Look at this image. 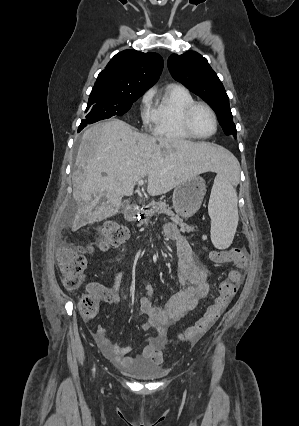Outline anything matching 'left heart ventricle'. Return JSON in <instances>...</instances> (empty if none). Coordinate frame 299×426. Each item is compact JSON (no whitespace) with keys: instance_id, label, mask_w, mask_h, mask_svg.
Returning a JSON list of instances; mask_svg holds the SVG:
<instances>
[{"instance_id":"obj_1","label":"left heart ventricle","mask_w":299,"mask_h":426,"mask_svg":"<svg viewBox=\"0 0 299 426\" xmlns=\"http://www.w3.org/2000/svg\"><path fill=\"white\" fill-rule=\"evenodd\" d=\"M194 131L202 136H207L214 131V121L205 108H197L191 119Z\"/></svg>"}]
</instances>
